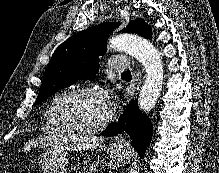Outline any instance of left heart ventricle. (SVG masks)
<instances>
[{
  "instance_id": "left-heart-ventricle-1",
  "label": "left heart ventricle",
  "mask_w": 219,
  "mask_h": 173,
  "mask_svg": "<svg viewBox=\"0 0 219 173\" xmlns=\"http://www.w3.org/2000/svg\"><path fill=\"white\" fill-rule=\"evenodd\" d=\"M100 94H82L68 105L67 115L70 122L80 128H90L98 125L108 114Z\"/></svg>"
}]
</instances>
